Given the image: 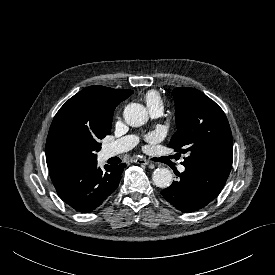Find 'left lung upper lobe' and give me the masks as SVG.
<instances>
[{
    "instance_id": "5c2ea615",
    "label": "left lung upper lobe",
    "mask_w": 275,
    "mask_h": 275,
    "mask_svg": "<svg viewBox=\"0 0 275 275\" xmlns=\"http://www.w3.org/2000/svg\"><path fill=\"white\" fill-rule=\"evenodd\" d=\"M173 96L178 130L170 145L175 151L187 154L182 164L230 173L232 133L223 110L194 88H175Z\"/></svg>"
}]
</instances>
